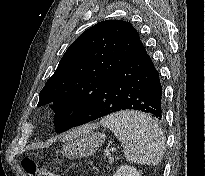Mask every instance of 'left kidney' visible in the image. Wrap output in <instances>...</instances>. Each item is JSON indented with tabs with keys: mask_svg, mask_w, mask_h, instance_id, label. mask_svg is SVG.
<instances>
[{
	"mask_svg": "<svg viewBox=\"0 0 205 176\" xmlns=\"http://www.w3.org/2000/svg\"><path fill=\"white\" fill-rule=\"evenodd\" d=\"M113 176H141L137 169L130 165H122Z\"/></svg>",
	"mask_w": 205,
	"mask_h": 176,
	"instance_id": "1",
	"label": "left kidney"
}]
</instances>
